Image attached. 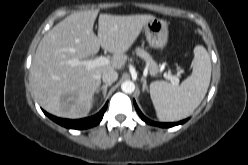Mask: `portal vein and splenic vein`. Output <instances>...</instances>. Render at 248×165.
<instances>
[{
    "label": "portal vein and splenic vein",
    "mask_w": 248,
    "mask_h": 165,
    "mask_svg": "<svg viewBox=\"0 0 248 165\" xmlns=\"http://www.w3.org/2000/svg\"><path fill=\"white\" fill-rule=\"evenodd\" d=\"M71 63L73 65L85 66L88 70H90V69L98 67V66L107 65L110 63V60L108 57L99 56L98 58H95V59L83 60V61H73ZM165 78L170 80L176 86L179 84V78L175 75L167 74V75H165Z\"/></svg>",
    "instance_id": "18ae733b"
}]
</instances>
